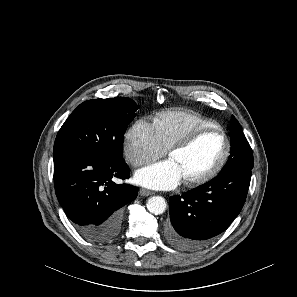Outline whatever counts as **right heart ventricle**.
<instances>
[{
	"label": "right heart ventricle",
	"mask_w": 297,
	"mask_h": 297,
	"mask_svg": "<svg viewBox=\"0 0 297 297\" xmlns=\"http://www.w3.org/2000/svg\"><path fill=\"white\" fill-rule=\"evenodd\" d=\"M153 126L160 144L168 150L190 131L208 126H217L212 120L189 111H165L153 119Z\"/></svg>",
	"instance_id": "right-heart-ventricle-1"
}]
</instances>
